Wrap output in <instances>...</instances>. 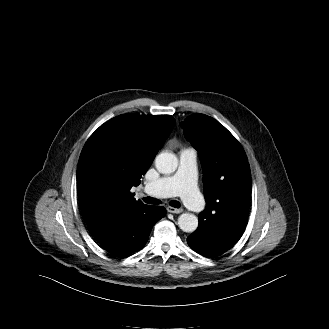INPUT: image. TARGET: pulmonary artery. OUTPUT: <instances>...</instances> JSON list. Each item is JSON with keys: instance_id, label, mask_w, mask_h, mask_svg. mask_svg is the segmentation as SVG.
<instances>
[{"instance_id": "obj_1", "label": "pulmonary artery", "mask_w": 329, "mask_h": 329, "mask_svg": "<svg viewBox=\"0 0 329 329\" xmlns=\"http://www.w3.org/2000/svg\"><path fill=\"white\" fill-rule=\"evenodd\" d=\"M197 152L184 148L179 152V165L174 174L166 175L145 187V192L155 197L180 196L193 212H201L205 203L196 185Z\"/></svg>"}]
</instances>
